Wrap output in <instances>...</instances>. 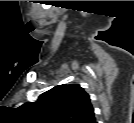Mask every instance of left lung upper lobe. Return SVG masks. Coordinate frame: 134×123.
Masks as SVG:
<instances>
[{
  "label": "left lung upper lobe",
  "instance_id": "1",
  "mask_svg": "<svg viewBox=\"0 0 134 123\" xmlns=\"http://www.w3.org/2000/svg\"><path fill=\"white\" fill-rule=\"evenodd\" d=\"M27 112L58 123H94V109L88 93L79 84H62L23 105Z\"/></svg>",
  "mask_w": 134,
  "mask_h": 123
}]
</instances>
